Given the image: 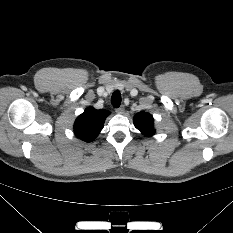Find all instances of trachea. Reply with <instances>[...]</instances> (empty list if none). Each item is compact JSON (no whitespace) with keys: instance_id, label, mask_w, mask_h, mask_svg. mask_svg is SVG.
<instances>
[{"instance_id":"1","label":"trachea","mask_w":233,"mask_h":233,"mask_svg":"<svg viewBox=\"0 0 233 233\" xmlns=\"http://www.w3.org/2000/svg\"><path fill=\"white\" fill-rule=\"evenodd\" d=\"M111 103L114 107L119 108L121 105V94L119 91H115L111 96Z\"/></svg>"}]
</instances>
